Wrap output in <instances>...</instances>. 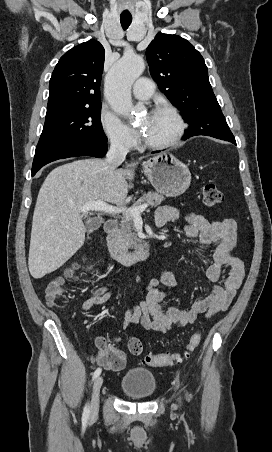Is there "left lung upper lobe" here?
<instances>
[{
    "mask_svg": "<svg viewBox=\"0 0 272 452\" xmlns=\"http://www.w3.org/2000/svg\"><path fill=\"white\" fill-rule=\"evenodd\" d=\"M146 58L160 90L189 123L188 131L233 136L213 93L204 59L191 43L177 35L158 33Z\"/></svg>",
    "mask_w": 272,
    "mask_h": 452,
    "instance_id": "5c2ea615",
    "label": "left lung upper lobe"
}]
</instances>
